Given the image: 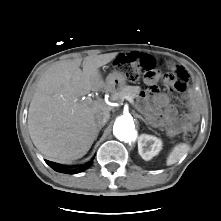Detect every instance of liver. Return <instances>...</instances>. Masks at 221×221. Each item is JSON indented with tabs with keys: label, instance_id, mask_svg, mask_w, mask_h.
<instances>
[{
	"label": "liver",
	"instance_id": "6515ba94",
	"mask_svg": "<svg viewBox=\"0 0 221 221\" xmlns=\"http://www.w3.org/2000/svg\"><path fill=\"white\" fill-rule=\"evenodd\" d=\"M117 53L58 61L40 77L28 111V130L36 148L47 158L71 162L91 148L97 125L95 116L111 107L102 101L79 100L105 83L100 67L115 59Z\"/></svg>",
	"mask_w": 221,
	"mask_h": 221
}]
</instances>
